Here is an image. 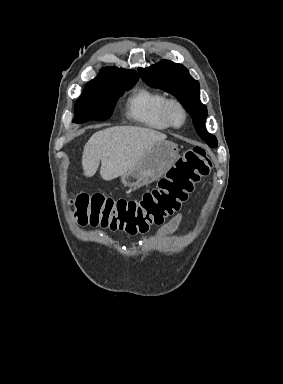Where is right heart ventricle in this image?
<instances>
[{"instance_id":"e07e8e85","label":"right heart ventricle","mask_w":283,"mask_h":384,"mask_svg":"<svg viewBox=\"0 0 283 384\" xmlns=\"http://www.w3.org/2000/svg\"><path fill=\"white\" fill-rule=\"evenodd\" d=\"M168 97L145 86L135 87L125 101L126 114L143 127L165 131L170 127L162 117V108Z\"/></svg>"}]
</instances>
